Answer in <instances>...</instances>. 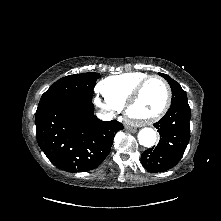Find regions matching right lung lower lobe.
I'll return each mask as SVG.
<instances>
[{"mask_svg": "<svg viewBox=\"0 0 221 221\" xmlns=\"http://www.w3.org/2000/svg\"><path fill=\"white\" fill-rule=\"evenodd\" d=\"M92 102L61 99L36 111V136L41 150L59 169L85 172L98 167L110 152L116 121H101Z\"/></svg>", "mask_w": 221, "mask_h": 221, "instance_id": "98d812e1", "label": "right lung lower lobe"}]
</instances>
